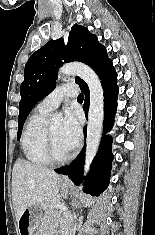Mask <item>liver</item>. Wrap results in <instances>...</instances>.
I'll list each match as a JSON object with an SVG mask.
<instances>
[{
  "label": "liver",
  "mask_w": 155,
  "mask_h": 235,
  "mask_svg": "<svg viewBox=\"0 0 155 235\" xmlns=\"http://www.w3.org/2000/svg\"><path fill=\"white\" fill-rule=\"evenodd\" d=\"M53 170L18 159L12 172V201L18 222L26 208L50 202L59 192Z\"/></svg>",
  "instance_id": "liver-1"
}]
</instances>
